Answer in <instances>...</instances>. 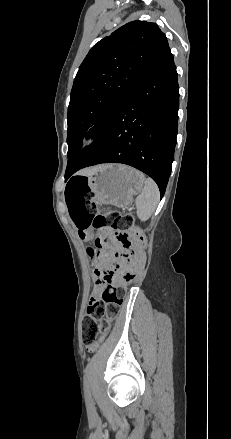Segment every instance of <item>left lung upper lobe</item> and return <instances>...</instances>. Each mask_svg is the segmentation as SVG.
<instances>
[{"label":"left lung upper lobe","mask_w":231,"mask_h":439,"mask_svg":"<svg viewBox=\"0 0 231 439\" xmlns=\"http://www.w3.org/2000/svg\"><path fill=\"white\" fill-rule=\"evenodd\" d=\"M157 24L132 21L96 43L74 79L68 107V157L96 137L130 90L168 54ZM65 177L69 178L66 169Z\"/></svg>","instance_id":"obj_1"}]
</instances>
